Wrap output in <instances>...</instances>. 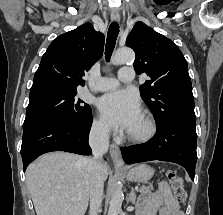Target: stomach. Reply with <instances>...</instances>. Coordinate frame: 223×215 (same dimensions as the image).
<instances>
[{
    "label": "stomach",
    "instance_id": "0dacf381",
    "mask_svg": "<svg viewBox=\"0 0 223 215\" xmlns=\"http://www.w3.org/2000/svg\"><path fill=\"white\" fill-rule=\"evenodd\" d=\"M153 173L154 169L152 167H149L146 163H140V165L128 169L126 177L129 181H138L140 183V181H148V179H151Z\"/></svg>",
    "mask_w": 223,
    "mask_h": 215
}]
</instances>
